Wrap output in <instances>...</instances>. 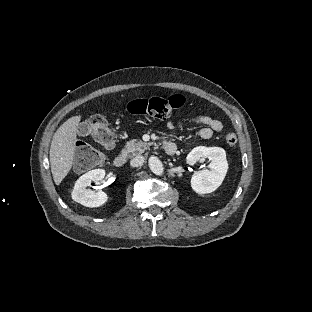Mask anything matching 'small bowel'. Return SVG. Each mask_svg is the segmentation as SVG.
<instances>
[{"instance_id": "1", "label": "small bowel", "mask_w": 312, "mask_h": 312, "mask_svg": "<svg viewBox=\"0 0 312 312\" xmlns=\"http://www.w3.org/2000/svg\"><path fill=\"white\" fill-rule=\"evenodd\" d=\"M193 122L197 125L204 126L199 134L203 139H209L214 133L221 132L223 129V124L220 120L211 118L206 115H195L193 116ZM166 126L169 130L175 129V124L172 120L166 122Z\"/></svg>"}]
</instances>
